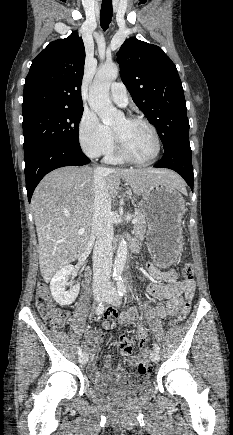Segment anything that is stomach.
<instances>
[{
	"instance_id": "obj_1",
	"label": "stomach",
	"mask_w": 233,
	"mask_h": 435,
	"mask_svg": "<svg viewBox=\"0 0 233 435\" xmlns=\"http://www.w3.org/2000/svg\"><path fill=\"white\" fill-rule=\"evenodd\" d=\"M140 208L148 224L147 246L161 268L172 265L181 249L185 201L173 186L157 182L142 194Z\"/></svg>"
}]
</instances>
